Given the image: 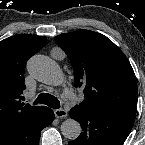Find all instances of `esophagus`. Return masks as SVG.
Here are the masks:
<instances>
[{
  "mask_svg": "<svg viewBox=\"0 0 145 145\" xmlns=\"http://www.w3.org/2000/svg\"><path fill=\"white\" fill-rule=\"evenodd\" d=\"M54 114L57 118H64L68 115L67 111L64 109H56L54 110Z\"/></svg>",
  "mask_w": 145,
  "mask_h": 145,
  "instance_id": "obj_1",
  "label": "esophagus"
}]
</instances>
